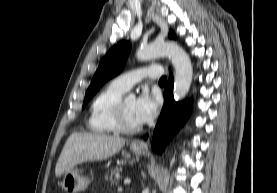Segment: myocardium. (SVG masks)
Here are the masks:
<instances>
[{"instance_id":"obj_1","label":"myocardium","mask_w":277,"mask_h":193,"mask_svg":"<svg viewBox=\"0 0 277 193\" xmlns=\"http://www.w3.org/2000/svg\"><path fill=\"white\" fill-rule=\"evenodd\" d=\"M124 100H125L124 98H120L113 110L116 130L117 132L124 133V134L136 133L141 130L142 125L141 124L132 125L127 122L125 117V112H124Z\"/></svg>"}]
</instances>
